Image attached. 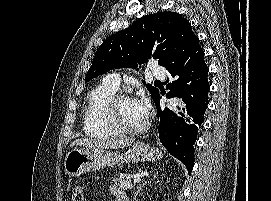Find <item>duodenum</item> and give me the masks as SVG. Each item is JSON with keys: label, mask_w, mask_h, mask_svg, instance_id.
<instances>
[{"label": "duodenum", "mask_w": 271, "mask_h": 201, "mask_svg": "<svg viewBox=\"0 0 271 201\" xmlns=\"http://www.w3.org/2000/svg\"><path fill=\"white\" fill-rule=\"evenodd\" d=\"M117 201H128V198L124 193H121L117 196Z\"/></svg>", "instance_id": "410a0bca"}]
</instances>
